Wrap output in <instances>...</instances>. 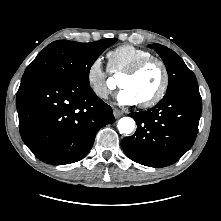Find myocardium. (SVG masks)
Returning a JSON list of instances; mask_svg holds the SVG:
<instances>
[{"label":"myocardium","instance_id":"myocardium-1","mask_svg":"<svg viewBox=\"0 0 221 221\" xmlns=\"http://www.w3.org/2000/svg\"><path fill=\"white\" fill-rule=\"evenodd\" d=\"M150 63H157L161 67L162 82L159 89L151 98L139 102V106L142 108L155 106L166 95L169 87V71L166 63L161 58L151 55L138 60L121 74V77H132L138 74L142 69H144Z\"/></svg>","mask_w":221,"mask_h":221}]
</instances>
